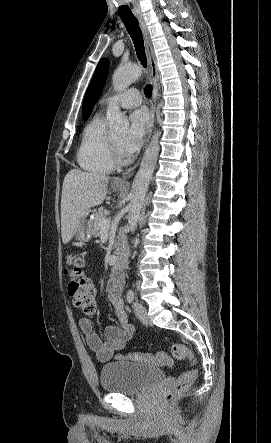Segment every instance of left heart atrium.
Listing matches in <instances>:
<instances>
[{
  "label": "left heart atrium",
  "mask_w": 271,
  "mask_h": 443,
  "mask_svg": "<svg viewBox=\"0 0 271 443\" xmlns=\"http://www.w3.org/2000/svg\"><path fill=\"white\" fill-rule=\"evenodd\" d=\"M129 130L121 143L125 154L131 155L137 152L145 141L150 127V119L145 109H137L129 116Z\"/></svg>",
  "instance_id": "39dd6f15"
}]
</instances>
